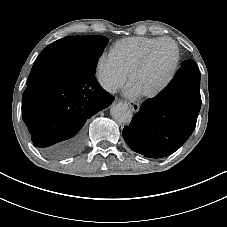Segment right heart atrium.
<instances>
[{
  "label": "right heart atrium",
  "instance_id": "right-heart-atrium-1",
  "mask_svg": "<svg viewBox=\"0 0 227 227\" xmlns=\"http://www.w3.org/2000/svg\"><path fill=\"white\" fill-rule=\"evenodd\" d=\"M98 85L109 94L116 93L126 82L125 71L108 55H101L96 63Z\"/></svg>",
  "mask_w": 227,
  "mask_h": 227
}]
</instances>
